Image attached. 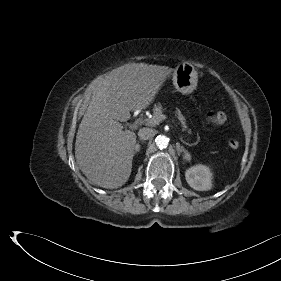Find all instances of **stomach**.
<instances>
[{
	"label": "stomach",
	"mask_w": 281,
	"mask_h": 281,
	"mask_svg": "<svg viewBox=\"0 0 281 281\" xmlns=\"http://www.w3.org/2000/svg\"><path fill=\"white\" fill-rule=\"evenodd\" d=\"M172 81L178 92L190 94L197 87L198 74L191 64L183 63L173 70Z\"/></svg>",
	"instance_id": "obj_1"
}]
</instances>
